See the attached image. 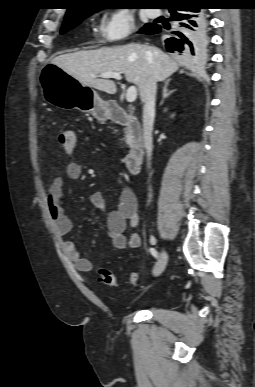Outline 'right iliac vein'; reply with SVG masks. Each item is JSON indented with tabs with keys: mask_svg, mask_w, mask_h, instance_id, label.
I'll return each mask as SVG.
<instances>
[{
	"mask_svg": "<svg viewBox=\"0 0 255 387\" xmlns=\"http://www.w3.org/2000/svg\"><path fill=\"white\" fill-rule=\"evenodd\" d=\"M167 262H168V254L166 253V251H162L156 263L155 269L153 271V275L159 276L166 268Z\"/></svg>",
	"mask_w": 255,
	"mask_h": 387,
	"instance_id": "63e3f726",
	"label": "right iliac vein"
}]
</instances>
